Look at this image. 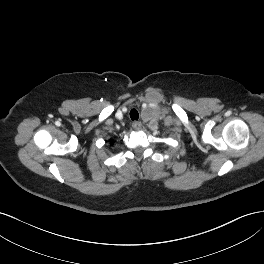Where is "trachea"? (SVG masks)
I'll return each mask as SVG.
<instances>
[{
  "mask_svg": "<svg viewBox=\"0 0 264 264\" xmlns=\"http://www.w3.org/2000/svg\"><path fill=\"white\" fill-rule=\"evenodd\" d=\"M130 117L131 119L134 121V120H138L139 118V114H138V111L136 109H132L130 111Z\"/></svg>",
  "mask_w": 264,
  "mask_h": 264,
  "instance_id": "3493384b",
  "label": "trachea"
}]
</instances>
